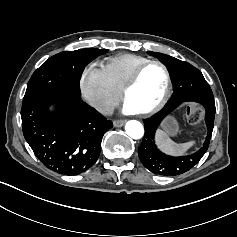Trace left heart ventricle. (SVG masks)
Wrapping results in <instances>:
<instances>
[{
  "label": "left heart ventricle",
  "instance_id": "left-heart-ventricle-1",
  "mask_svg": "<svg viewBox=\"0 0 237 237\" xmlns=\"http://www.w3.org/2000/svg\"><path fill=\"white\" fill-rule=\"evenodd\" d=\"M165 85L163 69L158 65H151L128 92L126 102L138 113L150 110L161 100Z\"/></svg>",
  "mask_w": 237,
  "mask_h": 237
}]
</instances>
